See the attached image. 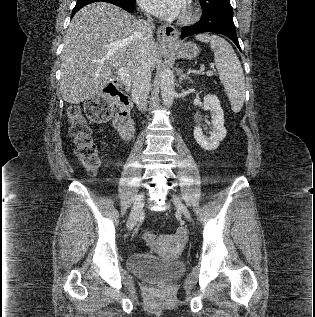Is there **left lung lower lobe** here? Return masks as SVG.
<instances>
[{
    "label": "left lung lower lobe",
    "instance_id": "left-lung-lower-lobe-1",
    "mask_svg": "<svg viewBox=\"0 0 315 317\" xmlns=\"http://www.w3.org/2000/svg\"><path fill=\"white\" fill-rule=\"evenodd\" d=\"M202 32H214L225 35L231 39L241 51L233 16L224 15L213 19L203 14L198 23L182 28L181 39Z\"/></svg>",
    "mask_w": 315,
    "mask_h": 317
}]
</instances>
